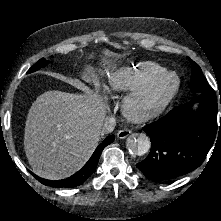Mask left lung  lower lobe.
<instances>
[{
    "mask_svg": "<svg viewBox=\"0 0 221 221\" xmlns=\"http://www.w3.org/2000/svg\"><path fill=\"white\" fill-rule=\"evenodd\" d=\"M195 102H199V108L193 112L191 107ZM217 110L215 93H200L190 102L144 126L143 130L151 139V151L137 163V168L151 180L166 181L199 167L217 134V139L221 137Z\"/></svg>",
    "mask_w": 221,
    "mask_h": 221,
    "instance_id": "left-lung-lower-lobe-1",
    "label": "left lung lower lobe"
}]
</instances>
